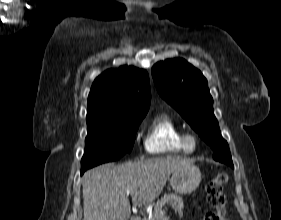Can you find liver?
I'll return each instance as SVG.
<instances>
[{
  "label": "liver",
  "mask_w": 281,
  "mask_h": 220,
  "mask_svg": "<svg viewBox=\"0 0 281 220\" xmlns=\"http://www.w3.org/2000/svg\"><path fill=\"white\" fill-rule=\"evenodd\" d=\"M194 160L167 156L123 165L107 163L85 172L82 179L83 220H128L131 214L126 191H133L135 207L150 204L176 170Z\"/></svg>",
  "instance_id": "6515ba94"
}]
</instances>
